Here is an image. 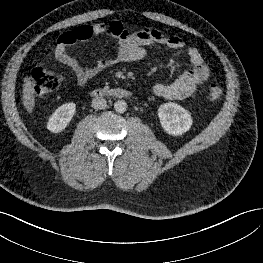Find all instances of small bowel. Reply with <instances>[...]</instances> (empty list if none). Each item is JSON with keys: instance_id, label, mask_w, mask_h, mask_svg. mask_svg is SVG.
Returning <instances> with one entry per match:
<instances>
[{"instance_id": "small-bowel-1", "label": "small bowel", "mask_w": 263, "mask_h": 263, "mask_svg": "<svg viewBox=\"0 0 263 263\" xmlns=\"http://www.w3.org/2000/svg\"><path fill=\"white\" fill-rule=\"evenodd\" d=\"M105 35L116 39L118 49L109 59L97 60L92 66L82 65L77 58L67 51L68 46L88 41L95 36ZM150 46H161L170 50H185L192 68L185 70L170 83H156L153 93L170 100H180L191 96L197 86L205 82L210 74L200 51L193 46H186L178 36H166L152 28L129 30L127 25L119 21L82 25L72 31L61 34L56 42L54 55L57 61L69 67L75 75L73 85L84 86L88 80L95 77L105 68L124 62L139 61L146 55Z\"/></svg>"}]
</instances>
